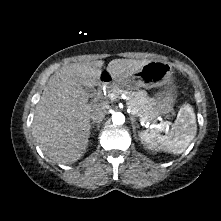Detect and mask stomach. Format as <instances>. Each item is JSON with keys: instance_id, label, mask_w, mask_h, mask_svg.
Masks as SVG:
<instances>
[{"instance_id": "stomach-1", "label": "stomach", "mask_w": 221, "mask_h": 221, "mask_svg": "<svg viewBox=\"0 0 221 221\" xmlns=\"http://www.w3.org/2000/svg\"><path fill=\"white\" fill-rule=\"evenodd\" d=\"M172 66L168 62L149 61L137 73L130 76L123 86L129 89L140 87L163 88L154 98L153 109L157 115L170 113L175 103V94L172 88L173 77Z\"/></svg>"}]
</instances>
